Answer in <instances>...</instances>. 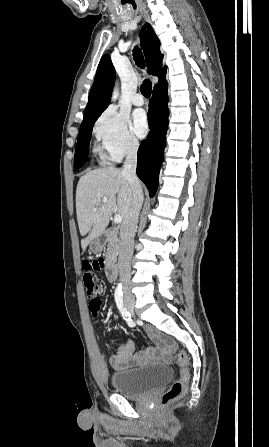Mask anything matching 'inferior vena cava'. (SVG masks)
I'll list each match as a JSON object with an SVG mask.
<instances>
[{"label": "inferior vena cava", "mask_w": 269, "mask_h": 447, "mask_svg": "<svg viewBox=\"0 0 269 447\" xmlns=\"http://www.w3.org/2000/svg\"><path fill=\"white\" fill-rule=\"evenodd\" d=\"M139 148L138 140H135L132 146H129L126 152V160L123 164L122 174L130 184L132 190L131 208L125 216L120 227V249L118 257V267L120 281L123 283L124 295H131L129 283L131 277V257L134 249V235L136 225L138 224L139 212L144 202V196L136 176L137 152Z\"/></svg>", "instance_id": "602c4592"}]
</instances>
